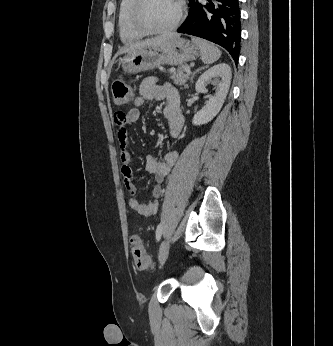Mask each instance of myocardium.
<instances>
[{
  "mask_svg": "<svg viewBox=\"0 0 333 346\" xmlns=\"http://www.w3.org/2000/svg\"><path fill=\"white\" fill-rule=\"evenodd\" d=\"M147 0H135L133 5L131 21L133 26L143 34L159 35L175 29L183 19L185 12L184 0H177V13L174 20L166 27L153 28L144 19L143 11Z\"/></svg>",
  "mask_w": 333,
  "mask_h": 346,
  "instance_id": "obj_1",
  "label": "myocardium"
}]
</instances>
